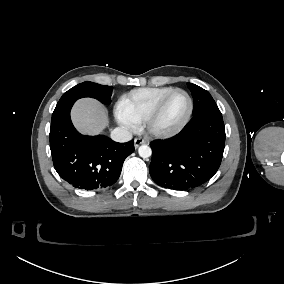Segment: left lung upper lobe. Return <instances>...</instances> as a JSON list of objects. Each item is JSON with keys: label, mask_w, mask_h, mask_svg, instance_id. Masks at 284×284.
Segmentation results:
<instances>
[{"label": "left lung upper lobe", "mask_w": 284, "mask_h": 284, "mask_svg": "<svg viewBox=\"0 0 284 284\" xmlns=\"http://www.w3.org/2000/svg\"><path fill=\"white\" fill-rule=\"evenodd\" d=\"M187 85L194 100L193 116H196L207 110L219 109L208 91L192 83H187Z\"/></svg>", "instance_id": "left-lung-upper-lobe-1"}]
</instances>
